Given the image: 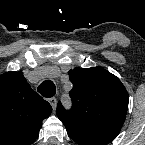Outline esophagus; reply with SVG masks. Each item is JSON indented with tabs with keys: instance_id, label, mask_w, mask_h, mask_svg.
Segmentation results:
<instances>
[{
	"instance_id": "1",
	"label": "esophagus",
	"mask_w": 145,
	"mask_h": 145,
	"mask_svg": "<svg viewBox=\"0 0 145 145\" xmlns=\"http://www.w3.org/2000/svg\"><path fill=\"white\" fill-rule=\"evenodd\" d=\"M49 103L51 104L53 110H55L57 106V99L55 97H52L49 99Z\"/></svg>"
}]
</instances>
